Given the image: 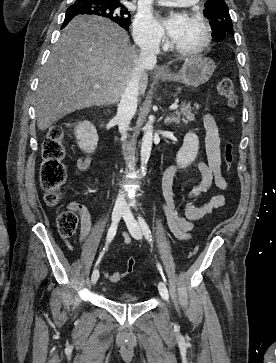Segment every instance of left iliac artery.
I'll use <instances>...</instances> for the list:
<instances>
[{
	"label": "left iliac artery",
	"instance_id": "left-iliac-artery-1",
	"mask_svg": "<svg viewBox=\"0 0 276 363\" xmlns=\"http://www.w3.org/2000/svg\"><path fill=\"white\" fill-rule=\"evenodd\" d=\"M138 221H139V224H140V226H141V229H142V231H143L144 236L146 237V239H147L149 242H151V241H152V235H151V231H150V229H149V227H148V225H147L146 221L144 220V218H143L142 216H139V217H138ZM157 267H158V269H159V271H160V273H161V275H162V278H163V279H164V281L166 282V278H165V276H164V274H163V272H162V267H161V265H160L159 263L157 264Z\"/></svg>",
	"mask_w": 276,
	"mask_h": 363
}]
</instances>
